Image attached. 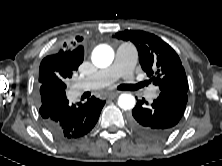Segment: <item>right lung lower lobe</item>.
<instances>
[{
  "instance_id": "obj_1",
  "label": "right lung lower lobe",
  "mask_w": 222,
  "mask_h": 166,
  "mask_svg": "<svg viewBox=\"0 0 222 166\" xmlns=\"http://www.w3.org/2000/svg\"><path fill=\"white\" fill-rule=\"evenodd\" d=\"M37 94L45 127L58 139L86 135L96 124L105 101L94 96L85 103L69 104L64 88L42 83Z\"/></svg>"
}]
</instances>
